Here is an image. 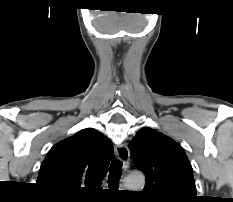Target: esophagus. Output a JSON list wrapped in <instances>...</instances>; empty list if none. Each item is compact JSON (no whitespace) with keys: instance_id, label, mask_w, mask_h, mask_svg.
<instances>
[{"instance_id":"obj_1","label":"esophagus","mask_w":233,"mask_h":202,"mask_svg":"<svg viewBox=\"0 0 233 202\" xmlns=\"http://www.w3.org/2000/svg\"><path fill=\"white\" fill-rule=\"evenodd\" d=\"M118 159L127 167L130 159V152L126 144H119L116 147Z\"/></svg>"}]
</instances>
